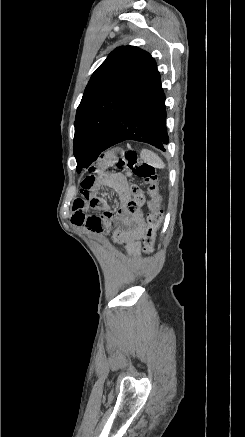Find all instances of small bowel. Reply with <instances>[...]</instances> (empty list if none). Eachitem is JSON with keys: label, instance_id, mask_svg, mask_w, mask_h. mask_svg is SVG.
Masks as SVG:
<instances>
[{"label": "small bowel", "instance_id": "1", "mask_svg": "<svg viewBox=\"0 0 245 437\" xmlns=\"http://www.w3.org/2000/svg\"><path fill=\"white\" fill-rule=\"evenodd\" d=\"M100 159L96 166H90L86 171L85 178L81 183L83 197L75 199L72 206L73 223L80 226L81 229L89 230L93 233H100L105 229L112 231L113 241L117 244L124 245L126 253L133 259L138 260L140 257V240L145 233V218L140 210L131 211L125 206L130 189L126 180L122 176H114L106 179V183L118 194L120 206L116 215L105 211L102 216L90 215L86 199L93 209L103 206L101 197L93 195L96 180L105 171H110L115 160L114 150H101Z\"/></svg>", "mask_w": 245, "mask_h": 437}]
</instances>
